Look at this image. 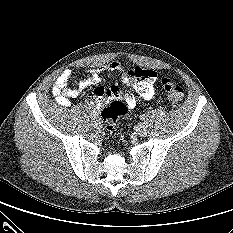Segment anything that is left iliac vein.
<instances>
[{"label": "left iliac vein", "mask_w": 233, "mask_h": 233, "mask_svg": "<svg viewBox=\"0 0 233 233\" xmlns=\"http://www.w3.org/2000/svg\"><path fill=\"white\" fill-rule=\"evenodd\" d=\"M137 134L140 137H145L147 135V128L145 125H139L137 128Z\"/></svg>", "instance_id": "obj_1"}]
</instances>
